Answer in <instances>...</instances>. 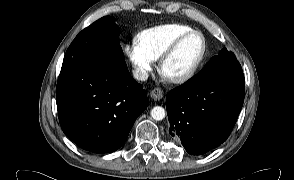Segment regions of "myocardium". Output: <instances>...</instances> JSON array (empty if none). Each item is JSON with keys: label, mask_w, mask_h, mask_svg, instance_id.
Instances as JSON below:
<instances>
[{"label": "myocardium", "mask_w": 294, "mask_h": 180, "mask_svg": "<svg viewBox=\"0 0 294 180\" xmlns=\"http://www.w3.org/2000/svg\"><path fill=\"white\" fill-rule=\"evenodd\" d=\"M198 35L201 38L202 41V50L198 56V58L195 60L193 65L190 67V69L185 72L184 74L178 76V77H166L167 80L173 84H183L189 81L193 78V76L196 74L198 68L200 67L201 63L203 62L206 52H207V42L204 34L199 30H191L181 36H179L175 41H173L169 47L163 52L161 57L159 58V71L163 73V67L166 64V62L174 55V53L177 51L179 46L189 37Z\"/></svg>", "instance_id": "myocardium-1"}]
</instances>
